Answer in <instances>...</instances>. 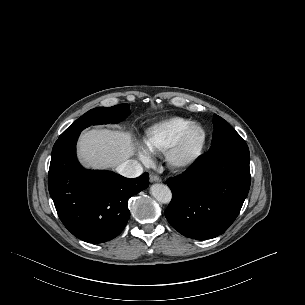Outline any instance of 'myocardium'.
I'll return each mask as SVG.
<instances>
[{"mask_svg": "<svg viewBox=\"0 0 305 305\" xmlns=\"http://www.w3.org/2000/svg\"><path fill=\"white\" fill-rule=\"evenodd\" d=\"M199 129L202 132V138L199 145L194 150H187V139L189 134ZM208 141V133L205 127L199 123H191L180 134L176 142L168 150L167 162L170 167L177 170H184L194 166L202 157Z\"/></svg>", "mask_w": 305, "mask_h": 305, "instance_id": "obj_1", "label": "myocardium"}]
</instances>
